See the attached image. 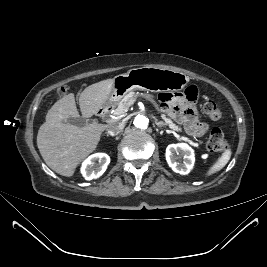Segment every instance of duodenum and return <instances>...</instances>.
Returning <instances> with one entry per match:
<instances>
[{
	"label": "duodenum",
	"mask_w": 267,
	"mask_h": 267,
	"mask_svg": "<svg viewBox=\"0 0 267 267\" xmlns=\"http://www.w3.org/2000/svg\"><path fill=\"white\" fill-rule=\"evenodd\" d=\"M107 112H108V108L103 107V108L97 110V112H96L95 115H96L97 117L101 118V117H103Z\"/></svg>",
	"instance_id": "obj_1"
}]
</instances>
